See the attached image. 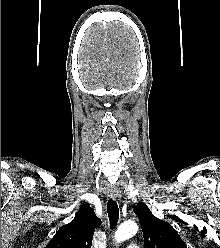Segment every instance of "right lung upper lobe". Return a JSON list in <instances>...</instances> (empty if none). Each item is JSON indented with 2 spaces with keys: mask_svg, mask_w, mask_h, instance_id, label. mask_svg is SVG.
Here are the masks:
<instances>
[{
  "mask_svg": "<svg viewBox=\"0 0 220 248\" xmlns=\"http://www.w3.org/2000/svg\"><path fill=\"white\" fill-rule=\"evenodd\" d=\"M101 225L89 205L82 206L75 218L62 226L45 248H91L94 230Z\"/></svg>",
  "mask_w": 220,
  "mask_h": 248,
  "instance_id": "right-lung-upper-lobe-1",
  "label": "right lung upper lobe"
}]
</instances>
